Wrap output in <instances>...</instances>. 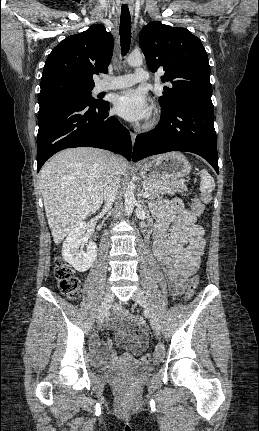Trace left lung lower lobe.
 I'll list each match as a JSON object with an SVG mask.
<instances>
[{
    "label": "left lung lower lobe",
    "mask_w": 259,
    "mask_h": 431,
    "mask_svg": "<svg viewBox=\"0 0 259 431\" xmlns=\"http://www.w3.org/2000/svg\"><path fill=\"white\" fill-rule=\"evenodd\" d=\"M169 151L195 153L219 173L213 106L186 101L162 108L155 129L136 137L132 158L138 161Z\"/></svg>",
    "instance_id": "1"
}]
</instances>
